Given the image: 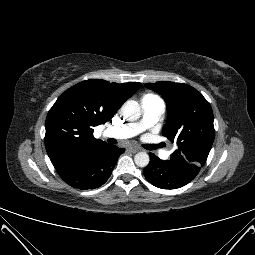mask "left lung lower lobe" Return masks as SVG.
<instances>
[{"instance_id":"obj_1","label":"left lung lower lobe","mask_w":255,"mask_h":255,"mask_svg":"<svg viewBox=\"0 0 255 255\" xmlns=\"http://www.w3.org/2000/svg\"><path fill=\"white\" fill-rule=\"evenodd\" d=\"M149 155L150 163L144 168L143 174L158 188H180L192 181L199 172L197 168L172 161H163L154 154Z\"/></svg>"}]
</instances>
